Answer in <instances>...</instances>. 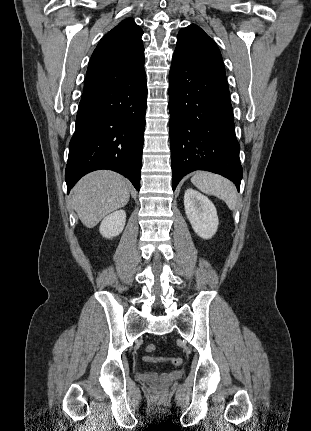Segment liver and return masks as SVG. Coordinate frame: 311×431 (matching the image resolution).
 <instances>
[{
    "mask_svg": "<svg viewBox=\"0 0 311 431\" xmlns=\"http://www.w3.org/2000/svg\"><path fill=\"white\" fill-rule=\"evenodd\" d=\"M130 198L126 178L100 170L84 176L73 188L72 208L86 227H94L102 217L114 210L124 208Z\"/></svg>",
    "mask_w": 311,
    "mask_h": 431,
    "instance_id": "liver-1",
    "label": "liver"
}]
</instances>
